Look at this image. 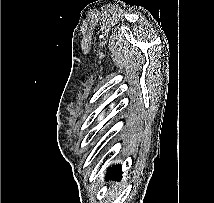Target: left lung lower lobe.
Listing matches in <instances>:
<instances>
[{"label":"left lung lower lobe","mask_w":214,"mask_h":203,"mask_svg":"<svg viewBox=\"0 0 214 203\" xmlns=\"http://www.w3.org/2000/svg\"><path fill=\"white\" fill-rule=\"evenodd\" d=\"M122 175V167L121 165H115L113 167L108 168L106 179L118 177L120 178Z\"/></svg>","instance_id":"obj_1"}]
</instances>
